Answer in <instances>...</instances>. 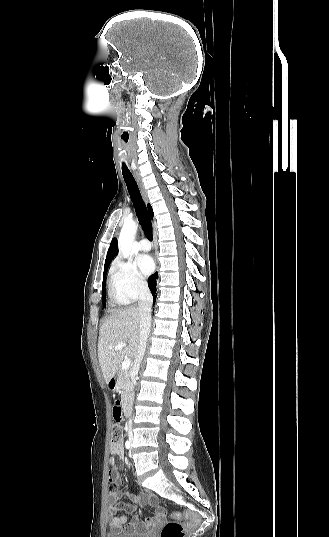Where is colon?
Returning <instances> with one entry per match:
<instances>
[{"label":"colon","instance_id":"obj_1","mask_svg":"<svg viewBox=\"0 0 329 537\" xmlns=\"http://www.w3.org/2000/svg\"><path fill=\"white\" fill-rule=\"evenodd\" d=\"M113 409V408H112ZM113 413V412H112ZM122 426L114 423L111 429V441L112 443H118L122 440ZM200 513L198 510H184L181 513L174 511L172 513V520L167 522L162 530L161 537H185V533L189 528H193L197 525ZM190 519L188 522H182L180 518Z\"/></svg>","mask_w":329,"mask_h":537}]
</instances>
